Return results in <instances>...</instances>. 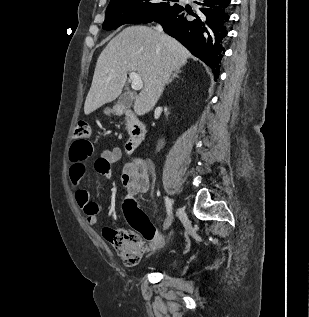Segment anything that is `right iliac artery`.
Listing matches in <instances>:
<instances>
[{
	"mask_svg": "<svg viewBox=\"0 0 309 317\" xmlns=\"http://www.w3.org/2000/svg\"><path fill=\"white\" fill-rule=\"evenodd\" d=\"M165 204L168 215L172 212V202L168 197H165Z\"/></svg>",
	"mask_w": 309,
	"mask_h": 317,
	"instance_id": "right-iliac-artery-1",
	"label": "right iliac artery"
}]
</instances>
